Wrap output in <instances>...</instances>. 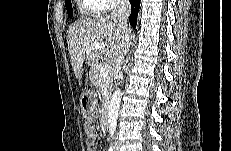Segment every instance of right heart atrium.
Segmentation results:
<instances>
[{
    "label": "right heart atrium",
    "mask_w": 231,
    "mask_h": 151,
    "mask_svg": "<svg viewBox=\"0 0 231 151\" xmlns=\"http://www.w3.org/2000/svg\"><path fill=\"white\" fill-rule=\"evenodd\" d=\"M94 1V0H92ZM100 4L102 11H113L119 8L123 1L122 0H98L96 1Z\"/></svg>",
    "instance_id": "right-heart-atrium-1"
}]
</instances>
